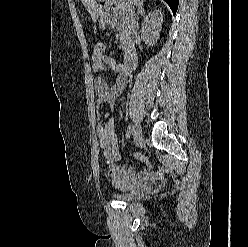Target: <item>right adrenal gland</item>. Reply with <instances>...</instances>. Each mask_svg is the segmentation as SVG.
<instances>
[{"mask_svg":"<svg viewBox=\"0 0 248 247\" xmlns=\"http://www.w3.org/2000/svg\"><path fill=\"white\" fill-rule=\"evenodd\" d=\"M140 16L141 17L145 16V9H144V4L143 3H140L137 6V17H136L137 22H138Z\"/></svg>","mask_w":248,"mask_h":247,"instance_id":"2a0ac1e0","label":"right adrenal gland"}]
</instances>
